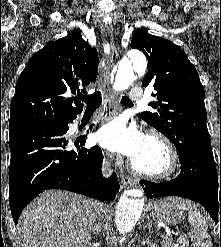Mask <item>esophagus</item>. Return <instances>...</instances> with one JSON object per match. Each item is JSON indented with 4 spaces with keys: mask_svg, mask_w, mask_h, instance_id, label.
Masks as SVG:
<instances>
[{
    "mask_svg": "<svg viewBox=\"0 0 221 247\" xmlns=\"http://www.w3.org/2000/svg\"><path fill=\"white\" fill-rule=\"evenodd\" d=\"M101 33L103 38V43L105 46V51L103 53L102 59L99 64V83L101 84L102 88L105 91V97L102 105L103 112L107 114L108 106L107 103L110 101V92L109 95L107 94V86H108V73L111 64L117 58V48L114 42L113 36V28L110 23H103L101 27ZM113 98V95H111ZM121 183L123 186H136L137 181L129 176H122Z\"/></svg>",
    "mask_w": 221,
    "mask_h": 247,
    "instance_id": "1",
    "label": "esophagus"
}]
</instances>
